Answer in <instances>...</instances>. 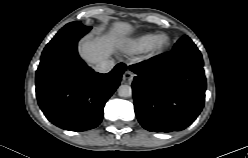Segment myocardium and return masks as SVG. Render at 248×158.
<instances>
[{
    "label": "myocardium",
    "instance_id": "myocardium-1",
    "mask_svg": "<svg viewBox=\"0 0 248 158\" xmlns=\"http://www.w3.org/2000/svg\"><path fill=\"white\" fill-rule=\"evenodd\" d=\"M168 44L169 36L166 33H159L153 37L147 51L149 54L155 55L164 51Z\"/></svg>",
    "mask_w": 248,
    "mask_h": 158
}]
</instances>
